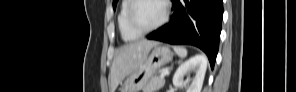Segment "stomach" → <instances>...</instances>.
<instances>
[{
	"mask_svg": "<svg viewBox=\"0 0 296 92\" xmlns=\"http://www.w3.org/2000/svg\"><path fill=\"white\" fill-rule=\"evenodd\" d=\"M173 53L167 46H155L145 60L124 82L121 92H140L156 72L172 61Z\"/></svg>",
	"mask_w": 296,
	"mask_h": 92,
	"instance_id": "1",
	"label": "stomach"
}]
</instances>
